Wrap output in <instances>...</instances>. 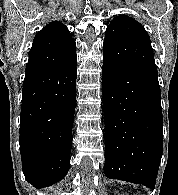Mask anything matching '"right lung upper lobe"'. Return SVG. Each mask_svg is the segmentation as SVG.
<instances>
[{
    "mask_svg": "<svg viewBox=\"0 0 178 195\" xmlns=\"http://www.w3.org/2000/svg\"><path fill=\"white\" fill-rule=\"evenodd\" d=\"M75 62L76 44L69 30L64 24L54 21L35 36L25 74L62 69Z\"/></svg>",
    "mask_w": 178,
    "mask_h": 195,
    "instance_id": "right-lung-upper-lobe-1",
    "label": "right lung upper lobe"
}]
</instances>
